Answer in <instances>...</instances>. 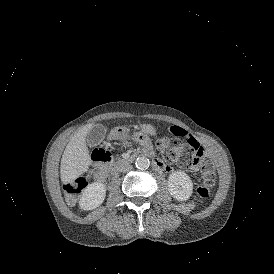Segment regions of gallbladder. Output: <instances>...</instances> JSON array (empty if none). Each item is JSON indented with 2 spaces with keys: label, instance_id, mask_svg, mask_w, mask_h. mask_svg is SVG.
Instances as JSON below:
<instances>
[{
  "label": "gallbladder",
  "instance_id": "1",
  "mask_svg": "<svg viewBox=\"0 0 274 274\" xmlns=\"http://www.w3.org/2000/svg\"><path fill=\"white\" fill-rule=\"evenodd\" d=\"M106 135V128L102 124L93 125L88 133L87 142L90 146L98 145Z\"/></svg>",
  "mask_w": 274,
  "mask_h": 274
}]
</instances>
